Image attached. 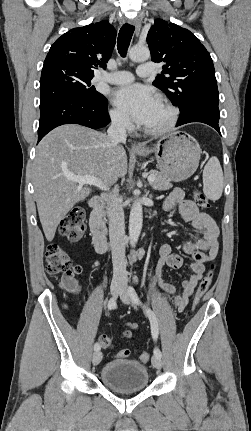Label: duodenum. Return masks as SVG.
<instances>
[{
    "label": "duodenum",
    "mask_w": 251,
    "mask_h": 431,
    "mask_svg": "<svg viewBox=\"0 0 251 431\" xmlns=\"http://www.w3.org/2000/svg\"><path fill=\"white\" fill-rule=\"evenodd\" d=\"M104 204V199L101 197H94L89 202L91 209L89 227L93 246L98 253H105L108 249L107 231L103 222Z\"/></svg>",
    "instance_id": "410a0bca"
}]
</instances>
